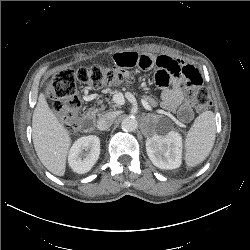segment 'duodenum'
Listing matches in <instances>:
<instances>
[{
	"mask_svg": "<svg viewBox=\"0 0 250 250\" xmlns=\"http://www.w3.org/2000/svg\"><path fill=\"white\" fill-rule=\"evenodd\" d=\"M95 119V113L93 111H88L82 118L81 126L85 132L92 130Z\"/></svg>",
	"mask_w": 250,
	"mask_h": 250,
	"instance_id": "410a0bca",
	"label": "duodenum"
}]
</instances>
